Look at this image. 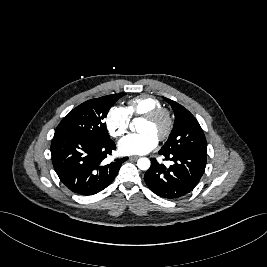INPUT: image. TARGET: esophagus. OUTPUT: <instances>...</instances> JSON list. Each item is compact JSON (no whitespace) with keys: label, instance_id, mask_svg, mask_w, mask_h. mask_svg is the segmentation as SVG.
<instances>
[{"label":"esophagus","instance_id":"obj_1","mask_svg":"<svg viewBox=\"0 0 267 267\" xmlns=\"http://www.w3.org/2000/svg\"><path fill=\"white\" fill-rule=\"evenodd\" d=\"M138 158H139L138 156H130V157H129V159H130L131 161L137 160Z\"/></svg>","mask_w":267,"mask_h":267}]
</instances>
